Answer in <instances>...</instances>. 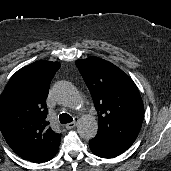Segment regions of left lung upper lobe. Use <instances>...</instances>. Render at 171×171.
<instances>
[{
  "mask_svg": "<svg viewBox=\"0 0 171 171\" xmlns=\"http://www.w3.org/2000/svg\"><path fill=\"white\" fill-rule=\"evenodd\" d=\"M99 115L97 137L127 150L140 131L144 106L132 79L114 64L91 57L76 61Z\"/></svg>",
  "mask_w": 171,
  "mask_h": 171,
  "instance_id": "1",
  "label": "left lung upper lobe"
}]
</instances>
